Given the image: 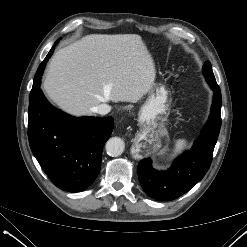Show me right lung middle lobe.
Listing matches in <instances>:
<instances>
[{"label":"right lung middle lobe","instance_id":"dd1d6c3e","mask_svg":"<svg viewBox=\"0 0 247 247\" xmlns=\"http://www.w3.org/2000/svg\"><path fill=\"white\" fill-rule=\"evenodd\" d=\"M57 42H55V44H57ZM53 50H54V46L51 48V50L49 51V53L46 56V58L44 59V61L40 64V66H39V68H38V70H37V72L35 74L34 82H33V87H32V90L30 92V97L33 96L37 92V89L40 87V84H41V76L43 74L45 64L48 61V59L50 58V56L52 55Z\"/></svg>","mask_w":247,"mask_h":247}]
</instances>
